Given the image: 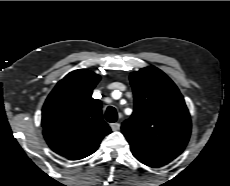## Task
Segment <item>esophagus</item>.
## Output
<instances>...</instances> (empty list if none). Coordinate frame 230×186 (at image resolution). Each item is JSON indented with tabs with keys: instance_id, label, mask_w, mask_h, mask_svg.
I'll return each instance as SVG.
<instances>
[{
	"instance_id": "34e87169",
	"label": "esophagus",
	"mask_w": 230,
	"mask_h": 186,
	"mask_svg": "<svg viewBox=\"0 0 230 186\" xmlns=\"http://www.w3.org/2000/svg\"><path fill=\"white\" fill-rule=\"evenodd\" d=\"M110 126L113 131H118L120 129V123L118 122L112 123Z\"/></svg>"
}]
</instances>
